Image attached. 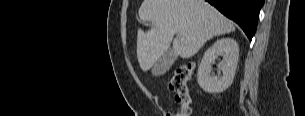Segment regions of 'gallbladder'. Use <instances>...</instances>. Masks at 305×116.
Segmentation results:
<instances>
[{"label":"gallbladder","mask_w":305,"mask_h":116,"mask_svg":"<svg viewBox=\"0 0 305 116\" xmlns=\"http://www.w3.org/2000/svg\"><path fill=\"white\" fill-rule=\"evenodd\" d=\"M177 55L172 49L165 52L154 64L152 68V74L154 76L164 75L172 66Z\"/></svg>","instance_id":"obj_1"}]
</instances>
